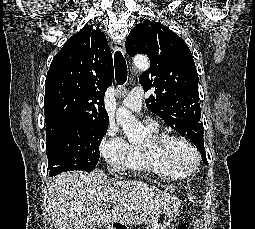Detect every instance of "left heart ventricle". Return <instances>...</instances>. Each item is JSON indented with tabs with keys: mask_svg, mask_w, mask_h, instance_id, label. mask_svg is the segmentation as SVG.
<instances>
[{
	"mask_svg": "<svg viewBox=\"0 0 255 229\" xmlns=\"http://www.w3.org/2000/svg\"><path fill=\"white\" fill-rule=\"evenodd\" d=\"M166 156L177 165H189L194 156L184 144L177 141H169L163 146Z\"/></svg>",
	"mask_w": 255,
	"mask_h": 229,
	"instance_id": "left-heart-ventricle-1",
	"label": "left heart ventricle"
}]
</instances>
